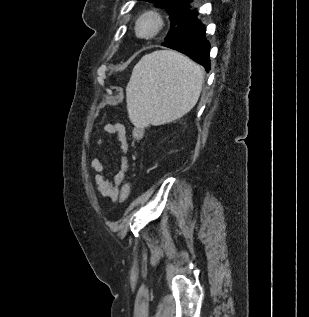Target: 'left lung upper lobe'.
<instances>
[{
    "label": "left lung upper lobe",
    "instance_id": "5c2ea615",
    "mask_svg": "<svg viewBox=\"0 0 309 317\" xmlns=\"http://www.w3.org/2000/svg\"><path fill=\"white\" fill-rule=\"evenodd\" d=\"M153 3L158 8L166 9L170 16L171 28L167 34L165 40L170 39L181 30H183L191 17L195 13V10H191L189 2L192 0H139Z\"/></svg>",
    "mask_w": 309,
    "mask_h": 317
}]
</instances>
